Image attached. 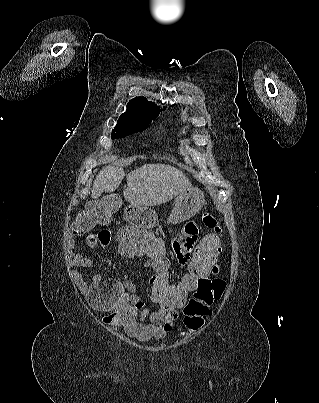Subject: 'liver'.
<instances>
[{"mask_svg":"<svg viewBox=\"0 0 319 403\" xmlns=\"http://www.w3.org/2000/svg\"><path fill=\"white\" fill-rule=\"evenodd\" d=\"M124 177L121 167H103L93 183L91 198L114 192ZM191 188V182L179 169L166 164H146L128 173L123 195L134 207L158 206Z\"/></svg>","mask_w":319,"mask_h":403,"instance_id":"liver-1","label":"liver"}]
</instances>
